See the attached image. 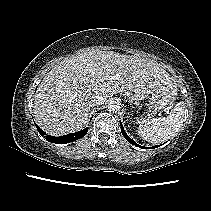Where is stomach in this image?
Segmentation results:
<instances>
[{
  "label": "stomach",
  "instance_id": "stomach-1",
  "mask_svg": "<svg viewBox=\"0 0 211 211\" xmlns=\"http://www.w3.org/2000/svg\"><path fill=\"white\" fill-rule=\"evenodd\" d=\"M149 94H152L148 103L149 113L156 114L174 100L177 95V86L174 82L168 83L153 89L151 93L144 90H132L128 97L133 101H141Z\"/></svg>",
  "mask_w": 211,
  "mask_h": 211
}]
</instances>
